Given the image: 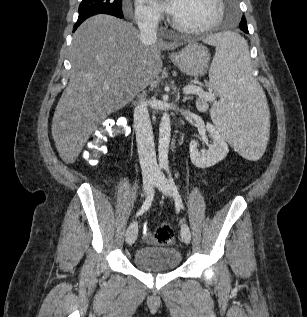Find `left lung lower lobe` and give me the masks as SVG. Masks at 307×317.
Wrapping results in <instances>:
<instances>
[{"instance_id":"left-lung-lower-lobe-1","label":"left lung lower lobe","mask_w":307,"mask_h":317,"mask_svg":"<svg viewBox=\"0 0 307 317\" xmlns=\"http://www.w3.org/2000/svg\"><path fill=\"white\" fill-rule=\"evenodd\" d=\"M244 17V16H243ZM245 18V17H244ZM244 18H243V21L240 22V29L245 32V33H248V27H247V23L246 21H244Z\"/></svg>"}]
</instances>
